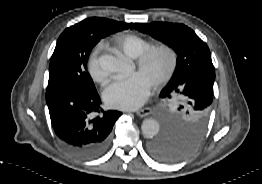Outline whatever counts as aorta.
<instances>
[{
    "label": "aorta",
    "instance_id": "obj_1",
    "mask_svg": "<svg viewBox=\"0 0 262 184\" xmlns=\"http://www.w3.org/2000/svg\"><path fill=\"white\" fill-rule=\"evenodd\" d=\"M141 130L144 136L153 138L160 131V123L153 118H147L142 122Z\"/></svg>",
    "mask_w": 262,
    "mask_h": 184
}]
</instances>
